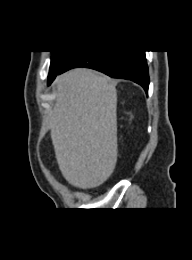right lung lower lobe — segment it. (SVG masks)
Segmentation results:
<instances>
[{
    "label": "right lung lower lobe",
    "mask_w": 192,
    "mask_h": 260,
    "mask_svg": "<svg viewBox=\"0 0 192 260\" xmlns=\"http://www.w3.org/2000/svg\"><path fill=\"white\" fill-rule=\"evenodd\" d=\"M75 67H88L101 71L113 78L134 81L148 93L149 75L145 51L78 52L65 64L58 74ZM56 76L48 80V85L52 83Z\"/></svg>",
    "instance_id": "1"
}]
</instances>
